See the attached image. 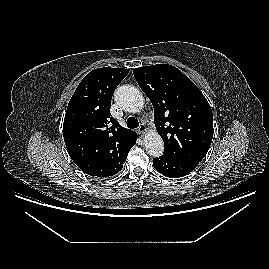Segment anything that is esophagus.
<instances>
[{
  "mask_svg": "<svg viewBox=\"0 0 269 269\" xmlns=\"http://www.w3.org/2000/svg\"><path fill=\"white\" fill-rule=\"evenodd\" d=\"M145 132H146V126L144 124H140V126L138 128V133L140 135H143V134H145Z\"/></svg>",
  "mask_w": 269,
  "mask_h": 269,
  "instance_id": "obj_1",
  "label": "esophagus"
}]
</instances>
